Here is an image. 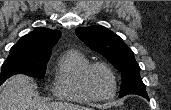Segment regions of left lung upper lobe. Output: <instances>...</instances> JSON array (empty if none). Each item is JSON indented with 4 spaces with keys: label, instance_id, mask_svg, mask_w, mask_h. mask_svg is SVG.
Segmentation results:
<instances>
[{
    "label": "left lung upper lobe",
    "instance_id": "left-lung-upper-lobe-1",
    "mask_svg": "<svg viewBox=\"0 0 171 110\" xmlns=\"http://www.w3.org/2000/svg\"><path fill=\"white\" fill-rule=\"evenodd\" d=\"M75 32L90 49L105 56L121 71L120 97L137 94L148 98L134 53L117 34L100 25L79 27Z\"/></svg>",
    "mask_w": 171,
    "mask_h": 110
}]
</instances>
